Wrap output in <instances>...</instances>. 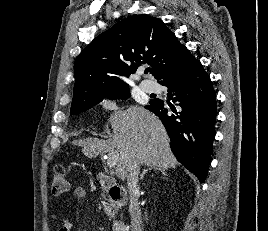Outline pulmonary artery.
<instances>
[{"instance_id":"1","label":"pulmonary artery","mask_w":268,"mask_h":231,"mask_svg":"<svg viewBox=\"0 0 268 231\" xmlns=\"http://www.w3.org/2000/svg\"><path fill=\"white\" fill-rule=\"evenodd\" d=\"M140 88L142 91L146 92V93H152L155 91V85L150 83L147 80H144L141 82L140 84Z\"/></svg>"}]
</instances>
